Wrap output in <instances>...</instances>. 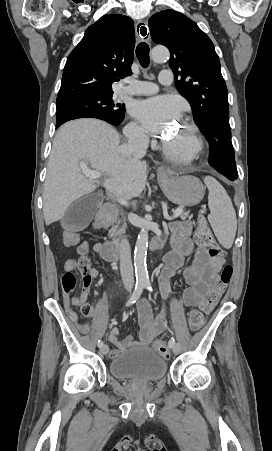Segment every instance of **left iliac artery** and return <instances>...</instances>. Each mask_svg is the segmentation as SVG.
<instances>
[{
    "label": "left iliac artery",
    "mask_w": 272,
    "mask_h": 451,
    "mask_svg": "<svg viewBox=\"0 0 272 451\" xmlns=\"http://www.w3.org/2000/svg\"><path fill=\"white\" fill-rule=\"evenodd\" d=\"M144 282H145V288H146L147 290H149V291H152V286H151L150 281H149V280H146V281H144ZM174 345H175V340H174V338H171V339L169 340V342H168V346H169L170 348H172Z\"/></svg>",
    "instance_id": "1"
}]
</instances>
